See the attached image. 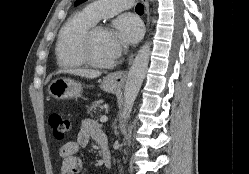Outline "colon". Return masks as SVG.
<instances>
[{
  "mask_svg": "<svg viewBox=\"0 0 249 174\" xmlns=\"http://www.w3.org/2000/svg\"><path fill=\"white\" fill-rule=\"evenodd\" d=\"M49 125L53 131L55 138L63 140L72 129L71 122L59 113H52L49 116Z\"/></svg>",
  "mask_w": 249,
  "mask_h": 174,
  "instance_id": "colon-1",
  "label": "colon"
}]
</instances>
